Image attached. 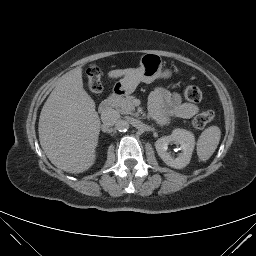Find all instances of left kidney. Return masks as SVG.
<instances>
[{
  "label": "left kidney",
  "instance_id": "left-kidney-1",
  "mask_svg": "<svg viewBox=\"0 0 256 256\" xmlns=\"http://www.w3.org/2000/svg\"><path fill=\"white\" fill-rule=\"evenodd\" d=\"M170 143L180 144L182 152L176 158L168 152ZM195 146L194 135L185 129H175L171 135L159 138L155 148L160 158L170 167L181 169L189 164Z\"/></svg>",
  "mask_w": 256,
  "mask_h": 256
}]
</instances>
